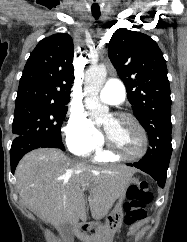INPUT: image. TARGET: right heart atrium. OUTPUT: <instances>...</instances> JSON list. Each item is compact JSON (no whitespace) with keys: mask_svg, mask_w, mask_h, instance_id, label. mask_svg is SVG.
Segmentation results:
<instances>
[{"mask_svg":"<svg viewBox=\"0 0 187 242\" xmlns=\"http://www.w3.org/2000/svg\"><path fill=\"white\" fill-rule=\"evenodd\" d=\"M65 142L75 155L88 156L103 142L102 135L81 111L69 113L64 126Z\"/></svg>","mask_w":187,"mask_h":242,"instance_id":"1","label":"right heart atrium"}]
</instances>
